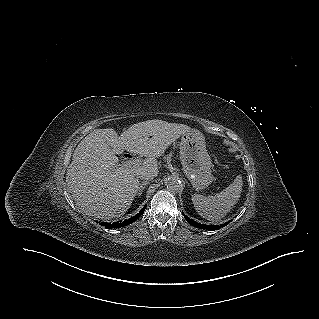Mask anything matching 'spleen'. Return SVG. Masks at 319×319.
Listing matches in <instances>:
<instances>
[{
  "instance_id": "1",
  "label": "spleen",
  "mask_w": 319,
  "mask_h": 319,
  "mask_svg": "<svg viewBox=\"0 0 319 319\" xmlns=\"http://www.w3.org/2000/svg\"><path fill=\"white\" fill-rule=\"evenodd\" d=\"M243 180L238 175L232 184L214 196L192 195V203L197 213L203 218L220 221L238 202L242 192Z\"/></svg>"
}]
</instances>
